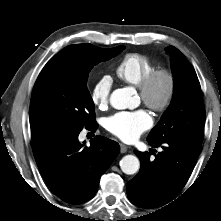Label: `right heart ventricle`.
<instances>
[{"label":"right heart ventricle","instance_id":"1","mask_svg":"<svg viewBox=\"0 0 221 221\" xmlns=\"http://www.w3.org/2000/svg\"><path fill=\"white\" fill-rule=\"evenodd\" d=\"M155 68V62L147 55L126 54L116 67V75L122 81L138 86L143 78Z\"/></svg>","mask_w":221,"mask_h":221}]
</instances>
